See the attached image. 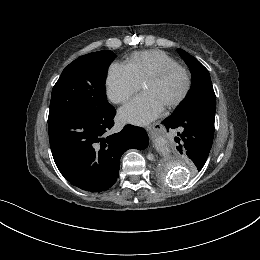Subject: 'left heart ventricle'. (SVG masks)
<instances>
[{
    "mask_svg": "<svg viewBox=\"0 0 260 260\" xmlns=\"http://www.w3.org/2000/svg\"><path fill=\"white\" fill-rule=\"evenodd\" d=\"M185 84L184 74L175 72L160 82L143 85V91L152 94L165 107L181 94Z\"/></svg>",
    "mask_w": 260,
    "mask_h": 260,
    "instance_id": "b2bd125f",
    "label": "left heart ventricle"
}]
</instances>
